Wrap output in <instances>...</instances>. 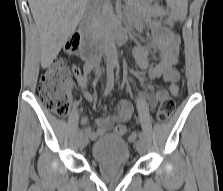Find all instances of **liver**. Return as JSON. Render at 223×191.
I'll list each match as a JSON object with an SVG mask.
<instances>
[{"mask_svg": "<svg viewBox=\"0 0 223 191\" xmlns=\"http://www.w3.org/2000/svg\"><path fill=\"white\" fill-rule=\"evenodd\" d=\"M89 0H28L39 31L40 62L48 67L73 34Z\"/></svg>", "mask_w": 223, "mask_h": 191, "instance_id": "liver-1", "label": "liver"}]
</instances>
